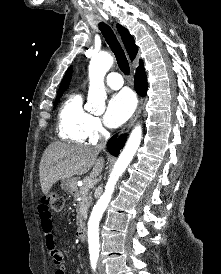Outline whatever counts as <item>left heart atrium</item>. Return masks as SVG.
Masks as SVG:
<instances>
[{
  "instance_id": "39dd6f15",
  "label": "left heart atrium",
  "mask_w": 221,
  "mask_h": 274,
  "mask_svg": "<svg viewBox=\"0 0 221 274\" xmlns=\"http://www.w3.org/2000/svg\"><path fill=\"white\" fill-rule=\"evenodd\" d=\"M135 98L129 91H122L114 95L108 102L104 115L105 123L112 128L126 122L135 109Z\"/></svg>"
}]
</instances>
